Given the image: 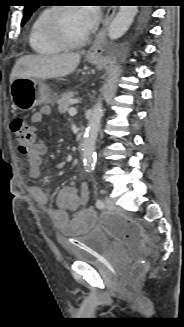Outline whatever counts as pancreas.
<instances>
[{"instance_id":"pancreas-1","label":"pancreas","mask_w":184,"mask_h":327,"mask_svg":"<svg viewBox=\"0 0 184 327\" xmlns=\"http://www.w3.org/2000/svg\"><path fill=\"white\" fill-rule=\"evenodd\" d=\"M74 97L73 92L64 93L61 95V98L57 101L58 110L60 114L66 113L69 108L73 105L72 100Z\"/></svg>"}]
</instances>
